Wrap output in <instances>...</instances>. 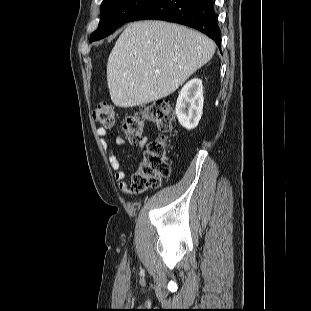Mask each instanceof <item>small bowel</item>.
I'll list each match as a JSON object with an SVG mask.
<instances>
[{"label": "small bowel", "mask_w": 311, "mask_h": 311, "mask_svg": "<svg viewBox=\"0 0 311 311\" xmlns=\"http://www.w3.org/2000/svg\"><path fill=\"white\" fill-rule=\"evenodd\" d=\"M96 135L99 139V144L104 154L106 155L111 169L114 171V178L118 183L119 190L125 195H132L133 190L128 181L125 179V172L121 169L120 161L117 158L114 147L107 140L106 130L98 127L96 129ZM114 143L116 146H123L125 139L122 136H116ZM148 143L147 137H143L141 142L138 143V147L143 150Z\"/></svg>", "instance_id": "obj_1"}]
</instances>
